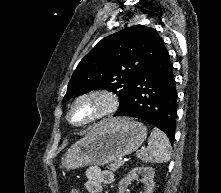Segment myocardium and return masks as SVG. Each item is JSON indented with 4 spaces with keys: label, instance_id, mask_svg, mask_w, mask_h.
Returning a JSON list of instances; mask_svg holds the SVG:
<instances>
[{
    "label": "myocardium",
    "instance_id": "1",
    "mask_svg": "<svg viewBox=\"0 0 221 193\" xmlns=\"http://www.w3.org/2000/svg\"><path fill=\"white\" fill-rule=\"evenodd\" d=\"M88 106V114L80 119H75V113L80 106ZM117 95L108 89H92L77 95L70 103L66 120L75 128H85L114 114L118 108Z\"/></svg>",
    "mask_w": 221,
    "mask_h": 193
}]
</instances>
